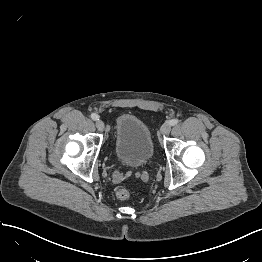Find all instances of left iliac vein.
Wrapping results in <instances>:
<instances>
[{
	"instance_id": "4c4485c4",
	"label": "left iliac vein",
	"mask_w": 262,
	"mask_h": 262,
	"mask_svg": "<svg viewBox=\"0 0 262 262\" xmlns=\"http://www.w3.org/2000/svg\"><path fill=\"white\" fill-rule=\"evenodd\" d=\"M170 130H171V126L168 123H165L160 129V134L167 135L169 134Z\"/></svg>"
}]
</instances>
